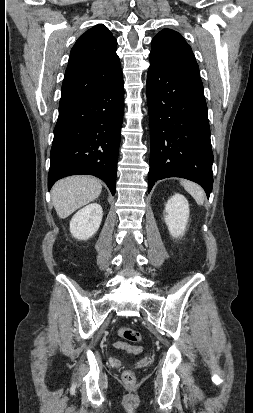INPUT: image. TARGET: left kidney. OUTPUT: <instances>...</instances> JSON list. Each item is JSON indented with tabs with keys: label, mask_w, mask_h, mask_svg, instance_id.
I'll return each instance as SVG.
<instances>
[{
	"label": "left kidney",
	"mask_w": 253,
	"mask_h": 413,
	"mask_svg": "<svg viewBox=\"0 0 253 413\" xmlns=\"http://www.w3.org/2000/svg\"><path fill=\"white\" fill-rule=\"evenodd\" d=\"M164 220L172 237H182L189 219V204L181 194H174L165 205Z\"/></svg>",
	"instance_id": "obj_1"
}]
</instances>
